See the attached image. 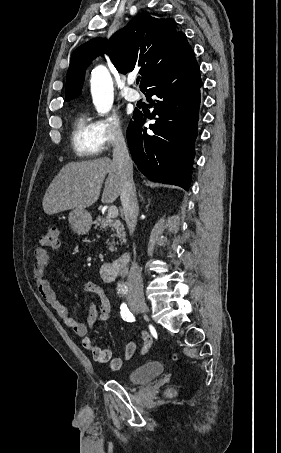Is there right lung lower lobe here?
<instances>
[{
  "mask_svg": "<svg viewBox=\"0 0 281 453\" xmlns=\"http://www.w3.org/2000/svg\"><path fill=\"white\" fill-rule=\"evenodd\" d=\"M201 86L193 51L145 86L146 97L155 98L152 116H148L155 123L147 132L143 127L146 116L135 111L127 128V141L133 161L150 180L188 190Z\"/></svg>",
  "mask_w": 281,
  "mask_h": 453,
  "instance_id": "obj_1",
  "label": "right lung lower lobe"
}]
</instances>
